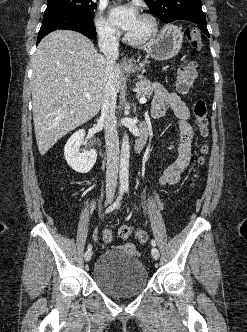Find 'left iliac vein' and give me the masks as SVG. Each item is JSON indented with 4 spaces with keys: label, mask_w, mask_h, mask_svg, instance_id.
<instances>
[{
    "label": "left iliac vein",
    "mask_w": 247,
    "mask_h": 332,
    "mask_svg": "<svg viewBox=\"0 0 247 332\" xmlns=\"http://www.w3.org/2000/svg\"><path fill=\"white\" fill-rule=\"evenodd\" d=\"M151 255L152 257L155 259V260H158L160 254H159V251L156 247H152L151 249Z\"/></svg>",
    "instance_id": "4c4485c4"
}]
</instances>
